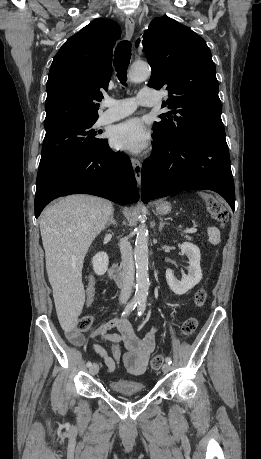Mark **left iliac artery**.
<instances>
[{
  "label": "left iliac artery",
  "instance_id": "1",
  "mask_svg": "<svg viewBox=\"0 0 261 459\" xmlns=\"http://www.w3.org/2000/svg\"><path fill=\"white\" fill-rule=\"evenodd\" d=\"M145 306H146V300L142 299L139 301V305H138V316H141L145 310ZM166 362L170 365L172 363V360L170 357H166Z\"/></svg>",
  "mask_w": 261,
  "mask_h": 459
}]
</instances>
